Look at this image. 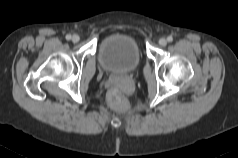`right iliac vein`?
Wrapping results in <instances>:
<instances>
[{
	"mask_svg": "<svg viewBox=\"0 0 238 158\" xmlns=\"http://www.w3.org/2000/svg\"><path fill=\"white\" fill-rule=\"evenodd\" d=\"M71 39L74 43H77L80 40V37L78 35H73Z\"/></svg>",
	"mask_w": 238,
	"mask_h": 158,
	"instance_id": "obj_1",
	"label": "right iliac vein"
}]
</instances>
